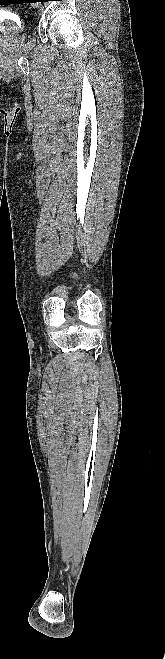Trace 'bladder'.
<instances>
[{"label":"bladder","mask_w":165,"mask_h":659,"mask_svg":"<svg viewBox=\"0 0 165 659\" xmlns=\"http://www.w3.org/2000/svg\"><path fill=\"white\" fill-rule=\"evenodd\" d=\"M9 26L5 23L0 24V35L6 34L10 37H19L24 32V27H19L15 22Z\"/></svg>","instance_id":"obj_1"}]
</instances>
